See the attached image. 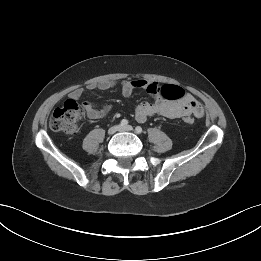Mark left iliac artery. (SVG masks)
Segmentation results:
<instances>
[{"label": "left iliac artery", "instance_id": "left-iliac-artery-1", "mask_svg": "<svg viewBox=\"0 0 261 261\" xmlns=\"http://www.w3.org/2000/svg\"><path fill=\"white\" fill-rule=\"evenodd\" d=\"M135 131H136V133H141L142 132V128L140 127V126H137L136 128H135Z\"/></svg>", "mask_w": 261, "mask_h": 261}]
</instances>
